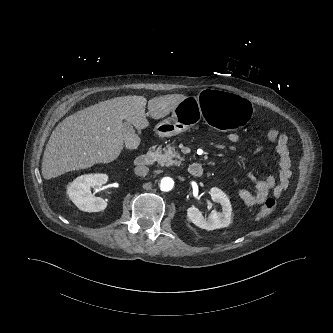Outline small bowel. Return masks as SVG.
Here are the masks:
<instances>
[{
  "mask_svg": "<svg viewBox=\"0 0 333 333\" xmlns=\"http://www.w3.org/2000/svg\"><path fill=\"white\" fill-rule=\"evenodd\" d=\"M227 139L229 143L236 144L239 141V135L231 132ZM274 142H276V151L279 156V177L276 179L274 176H268L266 179H258L252 172H248L247 177L252 182L254 190L243 188L239 191L240 198L247 206L262 204L270 194L279 198L289 186L292 171L288 137L284 132H280Z\"/></svg>",
  "mask_w": 333,
  "mask_h": 333,
  "instance_id": "small-bowel-1",
  "label": "small bowel"
}]
</instances>
